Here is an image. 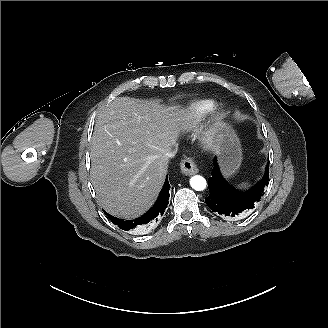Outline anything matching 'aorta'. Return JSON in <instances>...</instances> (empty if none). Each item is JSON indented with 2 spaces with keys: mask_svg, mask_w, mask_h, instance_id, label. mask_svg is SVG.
Wrapping results in <instances>:
<instances>
[{
  "mask_svg": "<svg viewBox=\"0 0 328 328\" xmlns=\"http://www.w3.org/2000/svg\"><path fill=\"white\" fill-rule=\"evenodd\" d=\"M190 185L196 191H202L206 188L207 182L204 177L195 175L190 178Z\"/></svg>",
  "mask_w": 328,
  "mask_h": 328,
  "instance_id": "aorta-1",
  "label": "aorta"
}]
</instances>
